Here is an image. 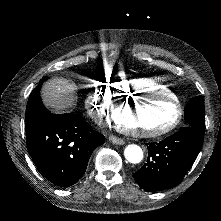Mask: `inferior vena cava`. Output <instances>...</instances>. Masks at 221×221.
I'll list each match as a JSON object with an SVG mask.
<instances>
[{"instance_id": "602c4592", "label": "inferior vena cava", "mask_w": 221, "mask_h": 221, "mask_svg": "<svg viewBox=\"0 0 221 221\" xmlns=\"http://www.w3.org/2000/svg\"><path fill=\"white\" fill-rule=\"evenodd\" d=\"M102 120L103 118L101 115L97 114L96 116H94V121L96 124L100 125L102 123Z\"/></svg>"}]
</instances>
